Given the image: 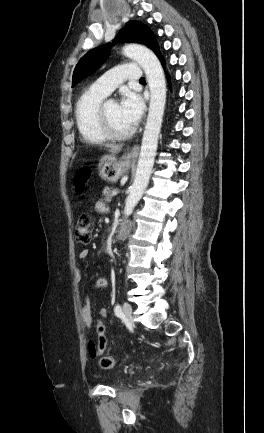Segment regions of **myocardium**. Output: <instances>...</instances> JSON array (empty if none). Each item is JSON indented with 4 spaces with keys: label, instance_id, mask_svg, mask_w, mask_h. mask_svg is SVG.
I'll return each instance as SVG.
<instances>
[{
    "label": "myocardium",
    "instance_id": "f54148a6",
    "mask_svg": "<svg viewBox=\"0 0 264 433\" xmlns=\"http://www.w3.org/2000/svg\"><path fill=\"white\" fill-rule=\"evenodd\" d=\"M109 101L102 102L101 105L98 108L97 117L98 122L100 125L101 130L106 135L107 138L112 140H125L130 138L136 131L135 127H132L131 129L125 131V132H118L116 131L108 118L107 114V104Z\"/></svg>",
    "mask_w": 264,
    "mask_h": 433
}]
</instances>
